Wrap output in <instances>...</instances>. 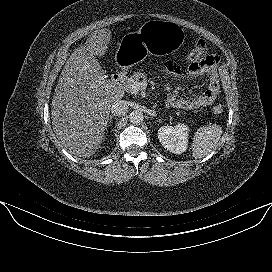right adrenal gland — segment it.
Here are the masks:
<instances>
[{"instance_id": "right-adrenal-gland-1", "label": "right adrenal gland", "mask_w": 272, "mask_h": 272, "mask_svg": "<svg viewBox=\"0 0 272 272\" xmlns=\"http://www.w3.org/2000/svg\"><path fill=\"white\" fill-rule=\"evenodd\" d=\"M113 118H114V115H110L108 119V123H111Z\"/></svg>"}]
</instances>
